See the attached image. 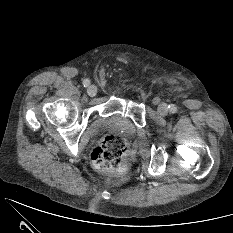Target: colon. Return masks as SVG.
<instances>
[{
  "label": "colon",
  "mask_w": 233,
  "mask_h": 233,
  "mask_svg": "<svg viewBox=\"0 0 233 233\" xmlns=\"http://www.w3.org/2000/svg\"><path fill=\"white\" fill-rule=\"evenodd\" d=\"M128 153L127 141L117 135H107L93 148L91 161L94 167L104 173L122 169Z\"/></svg>",
  "instance_id": "obj_1"
}]
</instances>
